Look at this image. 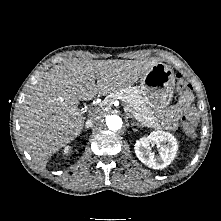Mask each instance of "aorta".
<instances>
[{
  "label": "aorta",
  "mask_w": 221,
  "mask_h": 221,
  "mask_svg": "<svg viewBox=\"0 0 221 221\" xmlns=\"http://www.w3.org/2000/svg\"><path fill=\"white\" fill-rule=\"evenodd\" d=\"M122 119L118 115H109L106 118V125L110 130L116 131L122 127Z\"/></svg>",
  "instance_id": "aorta-1"
}]
</instances>
